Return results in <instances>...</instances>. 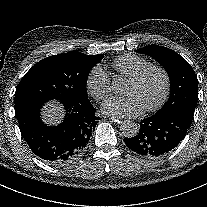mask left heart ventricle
I'll use <instances>...</instances> for the list:
<instances>
[{
	"instance_id": "obj_1",
	"label": "left heart ventricle",
	"mask_w": 207,
	"mask_h": 207,
	"mask_svg": "<svg viewBox=\"0 0 207 207\" xmlns=\"http://www.w3.org/2000/svg\"><path fill=\"white\" fill-rule=\"evenodd\" d=\"M163 90V76L157 71H152L139 84L127 82L124 94L134 97L141 108L145 110L157 103Z\"/></svg>"
}]
</instances>
